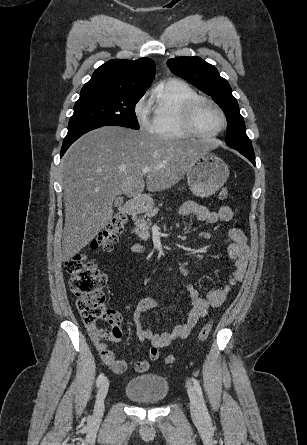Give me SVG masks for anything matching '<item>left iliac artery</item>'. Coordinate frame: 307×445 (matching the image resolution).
<instances>
[{
	"label": "left iliac artery",
	"mask_w": 307,
	"mask_h": 445,
	"mask_svg": "<svg viewBox=\"0 0 307 445\" xmlns=\"http://www.w3.org/2000/svg\"><path fill=\"white\" fill-rule=\"evenodd\" d=\"M193 383H194V389L196 390V392L199 396L200 402H201L202 412H203L205 421L210 422L211 418H210V415L208 413L207 407L204 402L201 386H200L199 382L194 378H193Z\"/></svg>",
	"instance_id": "obj_1"
}]
</instances>
